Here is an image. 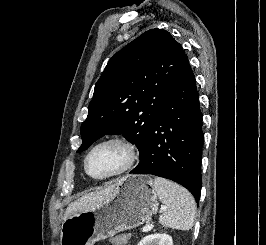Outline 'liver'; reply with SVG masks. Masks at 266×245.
<instances>
[{
    "mask_svg": "<svg viewBox=\"0 0 266 245\" xmlns=\"http://www.w3.org/2000/svg\"><path fill=\"white\" fill-rule=\"evenodd\" d=\"M118 187V183L115 185H110V187H106V189H102V191H94V193H88V195H84V197H80L71 205H68L65 215L63 217L64 221L72 217V215H78V213H86V211H94L97 205H103V203H109V199L113 193H115Z\"/></svg>",
    "mask_w": 266,
    "mask_h": 245,
    "instance_id": "6515ba94",
    "label": "liver"
}]
</instances>
